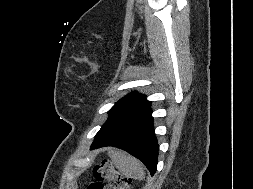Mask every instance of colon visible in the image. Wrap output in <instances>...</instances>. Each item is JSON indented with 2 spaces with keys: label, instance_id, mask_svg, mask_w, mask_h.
<instances>
[{
  "label": "colon",
  "instance_id": "colon-1",
  "mask_svg": "<svg viewBox=\"0 0 253 189\" xmlns=\"http://www.w3.org/2000/svg\"><path fill=\"white\" fill-rule=\"evenodd\" d=\"M93 177L94 181L87 189H130L131 186V179L116 170L108 160H102L94 166Z\"/></svg>",
  "mask_w": 253,
  "mask_h": 189
}]
</instances>
